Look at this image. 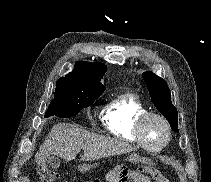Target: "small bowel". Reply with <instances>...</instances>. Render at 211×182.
<instances>
[{
	"label": "small bowel",
	"instance_id": "obj_1",
	"mask_svg": "<svg viewBox=\"0 0 211 182\" xmlns=\"http://www.w3.org/2000/svg\"><path fill=\"white\" fill-rule=\"evenodd\" d=\"M109 176H111V171L108 172V174L106 175V180H107V181H111V180L109 179Z\"/></svg>",
	"mask_w": 211,
	"mask_h": 182
}]
</instances>
